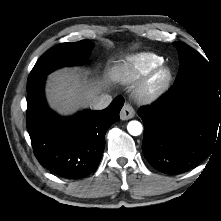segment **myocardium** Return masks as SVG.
Masks as SVG:
<instances>
[{"mask_svg": "<svg viewBox=\"0 0 221 221\" xmlns=\"http://www.w3.org/2000/svg\"><path fill=\"white\" fill-rule=\"evenodd\" d=\"M164 74L161 82L156 83V78ZM173 81V71L165 63H161L152 68L144 75L136 88V97L143 103H151L158 100L170 88Z\"/></svg>", "mask_w": 221, "mask_h": 221, "instance_id": "1", "label": "myocardium"}]
</instances>
